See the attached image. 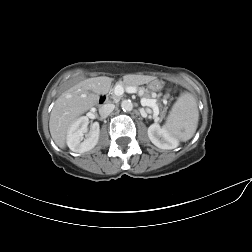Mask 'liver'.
Masks as SVG:
<instances>
[{
  "mask_svg": "<svg viewBox=\"0 0 252 252\" xmlns=\"http://www.w3.org/2000/svg\"><path fill=\"white\" fill-rule=\"evenodd\" d=\"M151 76L125 75L126 86H137L148 83ZM112 78L100 76L88 78L69 88L55 102L50 114L49 129L52 139L60 148L66 145L68 129L71 124L88 109L97 104L98 94L106 93L111 86Z\"/></svg>",
  "mask_w": 252,
  "mask_h": 252,
  "instance_id": "liver-1",
  "label": "liver"
}]
</instances>
